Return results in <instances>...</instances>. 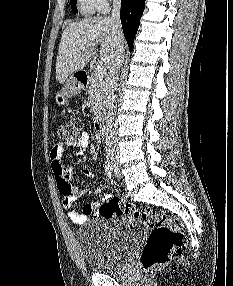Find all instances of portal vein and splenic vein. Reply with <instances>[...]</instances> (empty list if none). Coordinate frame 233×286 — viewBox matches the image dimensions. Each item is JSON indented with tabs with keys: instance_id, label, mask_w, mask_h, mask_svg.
Returning a JSON list of instances; mask_svg holds the SVG:
<instances>
[{
	"instance_id": "18ae733b",
	"label": "portal vein and splenic vein",
	"mask_w": 233,
	"mask_h": 286,
	"mask_svg": "<svg viewBox=\"0 0 233 286\" xmlns=\"http://www.w3.org/2000/svg\"><path fill=\"white\" fill-rule=\"evenodd\" d=\"M88 47L82 46L81 49L82 50H86ZM95 75L99 78H103L106 75V68L100 64L97 65L95 68Z\"/></svg>"
}]
</instances>
